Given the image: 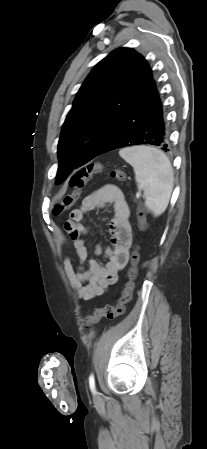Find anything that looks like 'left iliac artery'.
I'll list each match as a JSON object with an SVG mask.
<instances>
[{"instance_id":"left-iliac-artery-1","label":"left iliac artery","mask_w":207,"mask_h":449,"mask_svg":"<svg viewBox=\"0 0 207 449\" xmlns=\"http://www.w3.org/2000/svg\"><path fill=\"white\" fill-rule=\"evenodd\" d=\"M89 387H90V390H91L93 393H96V388H95V378H94V375H93V374H91V375L89 376Z\"/></svg>"}]
</instances>
